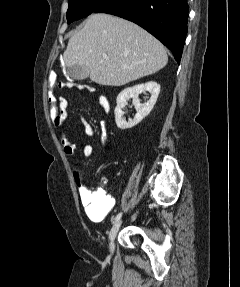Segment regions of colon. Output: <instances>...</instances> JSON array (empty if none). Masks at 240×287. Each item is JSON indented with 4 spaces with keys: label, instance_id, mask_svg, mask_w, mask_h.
Masks as SVG:
<instances>
[{
    "label": "colon",
    "instance_id": "obj_1",
    "mask_svg": "<svg viewBox=\"0 0 240 287\" xmlns=\"http://www.w3.org/2000/svg\"><path fill=\"white\" fill-rule=\"evenodd\" d=\"M49 90L47 94V105L52 125L58 129L65 124L67 118V100L60 95L59 90L65 88L88 89L90 87L73 82L58 81L55 71H51L48 78Z\"/></svg>",
    "mask_w": 240,
    "mask_h": 287
}]
</instances>
